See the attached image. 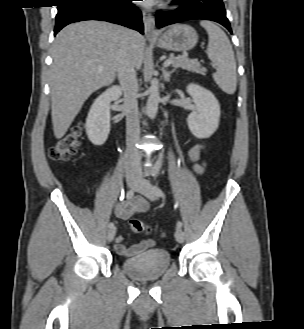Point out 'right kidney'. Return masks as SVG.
Instances as JSON below:
<instances>
[{"label":"right kidney","instance_id":"ca27d5eb","mask_svg":"<svg viewBox=\"0 0 304 329\" xmlns=\"http://www.w3.org/2000/svg\"><path fill=\"white\" fill-rule=\"evenodd\" d=\"M122 89L112 86L97 97L86 119V134L94 145H102L110 132V103L120 98Z\"/></svg>","mask_w":304,"mask_h":329}]
</instances>
